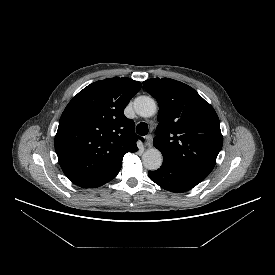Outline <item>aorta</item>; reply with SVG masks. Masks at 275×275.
I'll return each instance as SVG.
<instances>
[{
    "instance_id": "762f6f07",
    "label": "aorta",
    "mask_w": 275,
    "mask_h": 275,
    "mask_svg": "<svg viewBox=\"0 0 275 275\" xmlns=\"http://www.w3.org/2000/svg\"><path fill=\"white\" fill-rule=\"evenodd\" d=\"M156 103L148 96H139L134 101V110L141 117H151L156 113ZM143 165L148 170H157L161 167L163 157L156 148L146 150L142 156Z\"/></svg>"
}]
</instances>
